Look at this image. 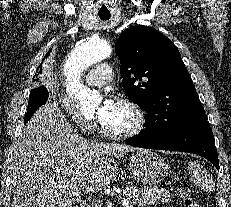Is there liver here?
<instances>
[{"instance_id": "obj_1", "label": "liver", "mask_w": 231, "mask_h": 207, "mask_svg": "<svg viewBox=\"0 0 231 207\" xmlns=\"http://www.w3.org/2000/svg\"><path fill=\"white\" fill-rule=\"evenodd\" d=\"M133 146L89 143L54 104L39 108L16 142L12 207H71L84 194L108 188L118 174L114 157Z\"/></svg>"}]
</instances>
